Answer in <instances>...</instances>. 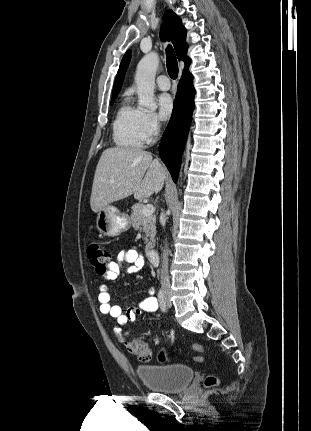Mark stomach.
Segmentation results:
<instances>
[{"instance_id": "stomach-1", "label": "stomach", "mask_w": 311, "mask_h": 431, "mask_svg": "<svg viewBox=\"0 0 311 431\" xmlns=\"http://www.w3.org/2000/svg\"><path fill=\"white\" fill-rule=\"evenodd\" d=\"M131 227V219L128 214L119 212L115 206H106L96 216V229L103 235L108 237H116L122 231H126Z\"/></svg>"}]
</instances>
